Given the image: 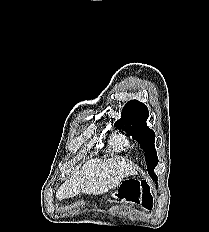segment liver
<instances>
[{"instance_id": "1", "label": "liver", "mask_w": 209, "mask_h": 232, "mask_svg": "<svg viewBox=\"0 0 209 232\" xmlns=\"http://www.w3.org/2000/svg\"><path fill=\"white\" fill-rule=\"evenodd\" d=\"M136 167L120 159H91L77 168L57 190L58 200L72 198L82 190L86 194H103L118 187L123 178L136 174Z\"/></svg>"}]
</instances>
